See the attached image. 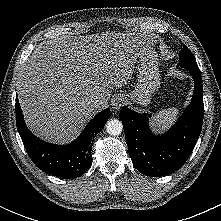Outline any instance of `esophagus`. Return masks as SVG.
Wrapping results in <instances>:
<instances>
[{"instance_id":"esophagus-1","label":"esophagus","mask_w":221,"mask_h":221,"mask_svg":"<svg viewBox=\"0 0 221 221\" xmlns=\"http://www.w3.org/2000/svg\"><path fill=\"white\" fill-rule=\"evenodd\" d=\"M124 105H125V100L121 96H117V97L113 98L111 101L112 109L115 112L119 111Z\"/></svg>"}]
</instances>
